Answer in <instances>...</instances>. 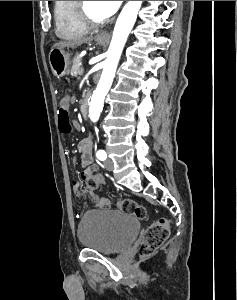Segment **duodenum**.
<instances>
[{"mask_svg": "<svg viewBox=\"0 0 237 300\" xmlns=\"http://www.w3.org/2000/svg\"><path fill=\"white\" fill-rule=\"evenodd\" d=\"M79 109L82 118H86L88 114V100L86 98L81 100Z\"/></svg>", "mask_w": 237, "mask_h": 300, "instance_id": "duodenum-1", "label": "duodenum"}]
</instances>
